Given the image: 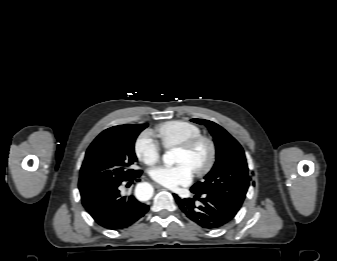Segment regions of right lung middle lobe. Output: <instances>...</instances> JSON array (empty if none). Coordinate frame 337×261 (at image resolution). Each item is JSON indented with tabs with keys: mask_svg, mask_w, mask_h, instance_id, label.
Here are the masks:
<instances>
[{
	"mask_svg": "<svg viewBox=\"0 0 337 261\" xmlns=\"http://www.w3.org/2000/svg\"><path fill=\"white\" fill-rule=\"evenodd\" d=\"M147 124H125L104 130L91 143L83 161L78 187L84 200L95 192L113 187L141 173L134 144Z\"/></svg>",
	"mask_w": 337,
	"mask_h": 261,
	"instance_id": "right-lung-middle-lobe-1",
	"label": "right lung middle lobe"
}]
</instances>
